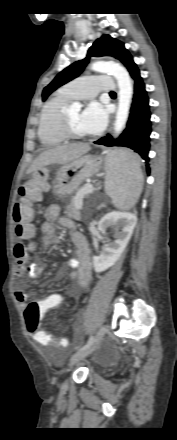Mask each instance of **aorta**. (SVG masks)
Segmentation results:
<instances>
[{
    "label": "aorta",
    "instance_id": "obj_1",
    "mask_svg": "<svg viewBox=\"0 0 177 440\" xmlns=\"http://www.w3.org/2000/svg\"><path fill=\"white\" fill-rule=\"evenodd\" d=\"M91 69L96 72L111 73L117 80L119 87V101L114 123V132L115 135H119L123 131L128 120L133 96V85L129 73L124 67L114 62L97 61L92 64ZM80 108L81 105L79 103H73L71 105V110L79 111Z\"/></svg>",
    "mask_w": 177,
    "mask_h": 440
}]
</instances>
